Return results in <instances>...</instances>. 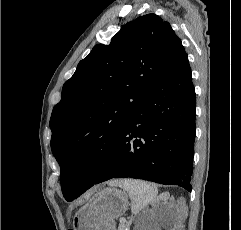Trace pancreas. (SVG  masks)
Segmentation results:
<instances>
[{
	"label": "pancreas",
	"mask_w": 241,
	"mask_h": 230,
	"mask_svg": "<svg viewBox=\"0 0 241 230\" xmlns=\"http://www.w3.org/2000/svg\"><path fill=\"white\" fill-rule=\"evenodd\" d=\"M130 223L120 224L118 230H129Z\"/></svg>",
	"instance_id": "pancreas-1"
}]
</instances>
